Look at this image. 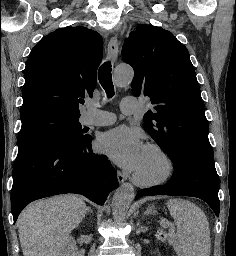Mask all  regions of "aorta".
Instances as JSON below:
<instances>
[{
	"label": "aorta",
	"instance_id": "obj_1",
	"mask_svg": "<svg viewBox=\"0 0 236 256\" xmlns=\"http://www.w3.org/2000/svg\"><path fill=\"white\" fill-rule=\"evenodd\" d=\"M133 69L128 65H119L115 69L114 82L117 87H123L132 82ZM135 198L134 188L130 183H124L114 193L112 212L115 220H124L128 209Z\"/></svg>",
	"mask_w": 236,
	"mask_h": 256
}]
</instances>
